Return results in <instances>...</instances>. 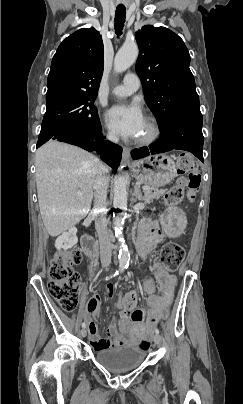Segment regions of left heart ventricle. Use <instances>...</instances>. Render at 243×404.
Returning a JSON list of instances; mask_svg holds the SVG:
<instances>
[{
	"label": "left heart ventricle",
	"instance_id": "b2bd125f",
	"mask_svg": "<svg viewBox=\"0 0 243 404\" xmlns=\"http://www.w3.org/2000/svg\"><path fill=\"white\" fill-rule=\"evenodd\" d=\"M148 131H149V124H148V122L146 120L143 134L141 135V137L139 139L144 138L148 134Z\"/></svg>",
	"mask_w": 243,
	"mask_h": 404
}]
</instances>
